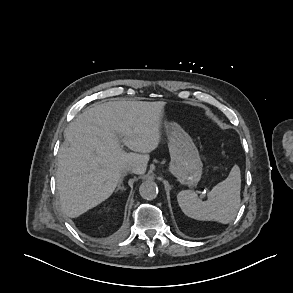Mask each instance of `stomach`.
I'll use <instances>...</instances> for the list:
<instances>
[{"instance_id":"0dacf381","label":"stomach","mask_w":293,"mask_h":293,"mask_svg":"<svg viewBox=\"0 0 293 293\" xmlns=\"http://www.w3.org/2000/svg\"><path fill=\"white\" fill-rule=\"evenodd\" d=\"M165 130L171 157L169 172L181 184H197L202 175L203 164L192 138L175 122H167Z\"/></svg>"}]
</instances>
